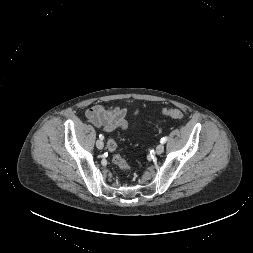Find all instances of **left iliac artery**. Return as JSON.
I'll return each instance as SVG.
<instances>
[{
    "label": "left iliac artery",
    "instance_id": "left-iliac-artery-1",
    "mask_svg": "<svg viewBox=\"0 0 253 253\" xmlns=\"http://www.w3.org/2000/svg\"><path fill=\"white\" fill-rule=\"evenodd\" d=\"M167 141V137H163L162 139H161V143L163 144V143H165Z\"/></svg>",
    "mask_w": 253,
    "mask_h": 253
}]
</instances>
